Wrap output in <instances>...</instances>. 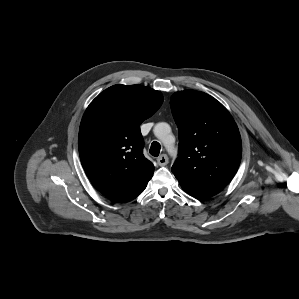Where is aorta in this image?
Listing matches in <instances>:
<instances>
[{
    "label": "aorta",
    "mask_w": 299,
    "mask_h": 299,
    "mask_svg": "<svg viewBox=\"0 0 299 299\" xmlns=\"http://www.w3.org/2000/svg\"><path fill=\"white\" fill-rule=\"evenodd\" d=\"M154 134L159 138L169 152H173V144L170 140L173 138L171 135V127L165 122L157 123L154 127Z\"/></svg>",
    "instance_id": "1"
}]
</instances>
